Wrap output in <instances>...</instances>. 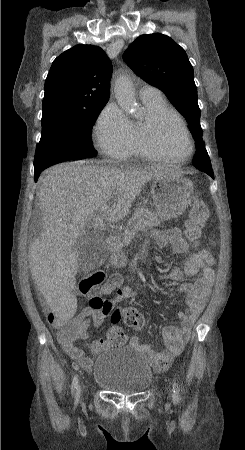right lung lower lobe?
<instances>
[{
	"label": "right lung lower lobe",
	"mask_w": 245,
	"mask_h": 450,
	"mask_svg": "<svg viewBox=\"0 0 245 450\" xmlns=\"http://www.w3.org/2000/svg\"><path fill=\"white\" fill-rule=\"evenodd\" d=\"M81 159H84V158H81ZM43 170H44V169H43ZM41 171H42V170H35V171H34V180H35V181H37V179H38V177H39Z\"/></svg>",
	"instance_id": "right-lung-lower-lobe-1"
}]
</instances>
